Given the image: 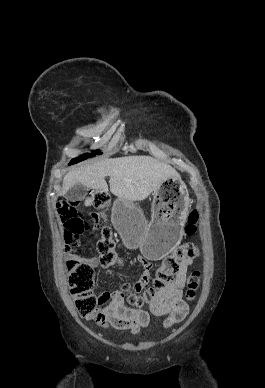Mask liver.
Instances as JSON below:
<instances>
[{
	"label": "liver",
	"mask_w": 265,
	"mask_h": 388,
	"mask_svg": "<svg viewBox=\"0 0 265 388\" xmlns=\"http://www.w3.org/2000/svg\"><path fill=\"white\" fill-rule=\"evenodd\" d=\"M105 176H110L111 194L122 200H145L158 190L164 180L180 176L172 166L159 162L151 156H125V158H102L92 164L74 168L63 178L62 194H66L74 184H82L91 190L108 192Z\"/></svg>",
	"instance_id": "6515ba94"
}]
</instances>
